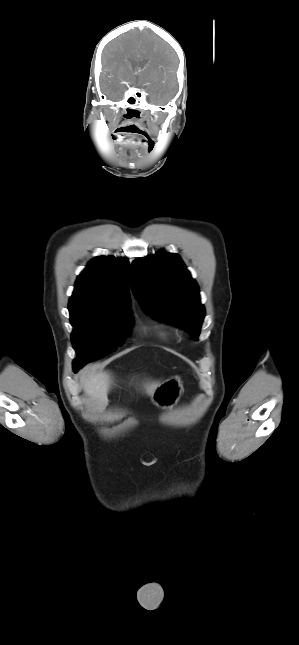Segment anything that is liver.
<instances>
[{
  "label": "liver",
  "mask_w": 299,
  "mask_h": 645,
  "mask_svg": "<svg viewBox=\"0 0 299 645\" xmlns=\"http://www.w3.org/2000/svg\"><path fill=\"white\" fill-rule=\"evenodd\" d=\"M88 370L83 372V390L89 396V402L98 411H103L108 403V392L111 387L112 379L109 373L99 372L86 374ZM159 383L153 382L145 385L148 395L153 394Z\"/></svg>",
  "instance_id": "liver-1"
}]
</instances>
